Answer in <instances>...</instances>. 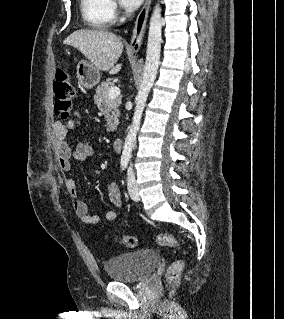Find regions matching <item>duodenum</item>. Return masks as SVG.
I'll return each instance as SVG.
<instances>
[{"label":"duodenum","mask_w":284,"mask_h":319,"mask_svg":"<svg viewBox=\"0 0 284 319\" xmlns=\"http://www.w3.org/2000/svg\"><path fill=\"white\" fill-rule=\"evenodd\" d=\"M123 147V139L118 137V138H115L114 141H113V148L116 150V151H120Z\"/></svg>","instance_id":"duodenum-1"}]
</instances>
